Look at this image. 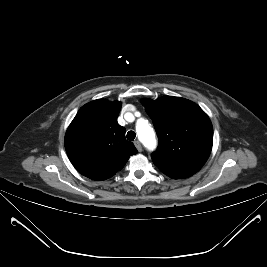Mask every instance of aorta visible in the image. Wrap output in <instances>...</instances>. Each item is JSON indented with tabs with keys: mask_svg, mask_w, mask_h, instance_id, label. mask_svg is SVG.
<instances>
[{
	"mask_svg": "<svg viewBox=\"0 0 267 267\" xmlns=\"http://www.w3.org/2000/svg\"><path fill=\"white\" fill-rule=\"evenodd\" d=\"M136 130L140 141L147 148H154L156 145L155 133L147 120L140 119L137 122Z\"/></svg>",
	"mask_w": 267,
	"mask_h": 267,
	"instance_id": "762f6f07",
	"label": "aorta"
}]
</instances>
